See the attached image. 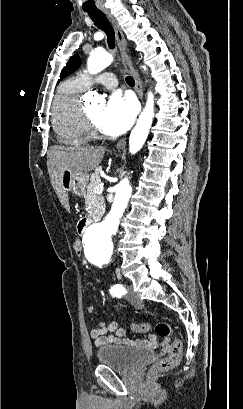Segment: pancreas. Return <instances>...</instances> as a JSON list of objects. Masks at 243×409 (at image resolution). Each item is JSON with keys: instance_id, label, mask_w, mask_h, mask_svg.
Segmentation results:
<instances>
[{"instance_id": "cf45deb5", "label": "pancreas", "mask_w": 243, "mask_h": 409, "mask_svg": "<svg viewBox=\"0 0 243 409\" xmlns=\"http://www.w3.org/2000/svg\"><path fill=\"white\" fill-rule=\"evenodd\" d=\"M101 167L97 168L90 177V183L87 186V192L84 196L86 206L89 207L90 217L99 220L105 213V202L101 194L94 193V189L101 183L99 173Z\"/></svg>"}]
</instances>
